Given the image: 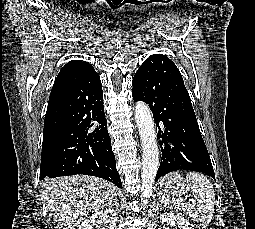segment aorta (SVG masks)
I'll list each match as a JSON object with an SVG mask.
<instances>
[{
  "instance_id": "1",
  "label": "aorta",
  "mask_w": 255,
  "mask_h": 229,
  "mask_svg": "<svg viewBox=\"0 0 255 229\" xmlns=\"http://www.w3.org/2000/svg\"><path fill=\"white\" fill-rule=\"evenodd\" d=\"M135 119L142 147L141 198L144 202H147L151 198L154 180L159 167V151L154 120L146 103L141 101L136 103Z\"/></svg>"
}]
</instances>
